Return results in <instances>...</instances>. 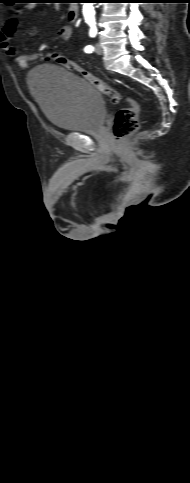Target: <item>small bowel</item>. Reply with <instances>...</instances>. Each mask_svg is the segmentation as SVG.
<instances>
[{
    "instance_id": "1",
    "label": "small bowel",
    "mask_w": 190,
    "mask_h": 483,
    "mask_svg": "<svg viewBox=\"0 0 190 483\" xmlns=\"http://www.w3.org/2000/svg\"><path fill=\"white\" fill-rule=\"evenodd\" d=\"M29 6H22L15 10L12 16L5 22L0 29V46L5 50L6 54L13 58L16 65L21 69H26L29 66V62L34 60L37 55H18L15 49L10 45V41L17 29V19ZM72 35V27L70 25L61 26L57 31V37L60 40H68Z\"/></svg>"
}]
</instances>
